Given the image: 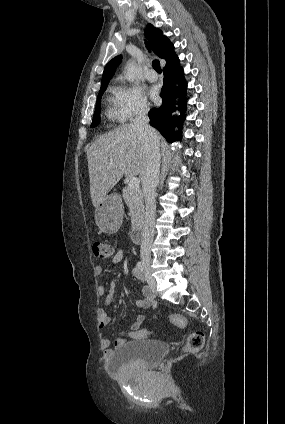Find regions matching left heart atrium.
<instances>
[{"label": "left heart atrium", "instance_id": "obj_1", "mask_svg": "<svg viewBox=\"0 0 285 424\" xmlns=\"http://www.w3.org/2000/svg\"><path fill=\"white\" fill-rule=\"evenodd\" d=\"M150 96L154 101H158L159 97H158V91L156 88H152L150 90Z\"/></svg>", "mask_w": 285, "mask_h": 424}]
</instances>
